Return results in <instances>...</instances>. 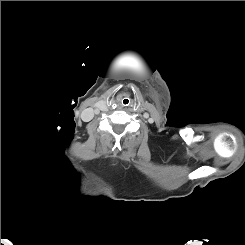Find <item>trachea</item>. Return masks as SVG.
I'll list each match as a JSON object with an SVG mask.
<instances>
[{
	"mask_svg": "<svg viewBox=\"0 0 245 245\" xmlns=\"http://www.w3.org/2000/svg\"><path fill=\"white\" fill-rule=\"evenodd\" d=\"M130 103H131V100H130L129 97H124V98L121 100V104H122V106H124V107L129 106Z\"/></svg>",
	"mask_w": 245,
	"mask_h": 245,
	"instance_id": "1",
	"label": "trachea"
}]
</instances>
